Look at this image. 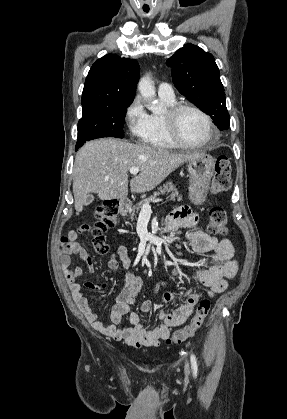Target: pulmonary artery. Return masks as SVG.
<instances>
[{"label":"pulmonary artery","instance_id":"e3ab8cb5","mask_svg":"<svg viewBox=\"0 0 287 419\" xmlns=\"http://www.w3.org/2000/svg\"><path fill=\"white\" fill-rule=\"evenodd\" d=\"M158 95L161 98H165V99H169V100H172L175 97L172 86L168 83H165V82H163L159 85Z\"/></svg>","mask_w":287,"mask_h":419}]
</instances>
